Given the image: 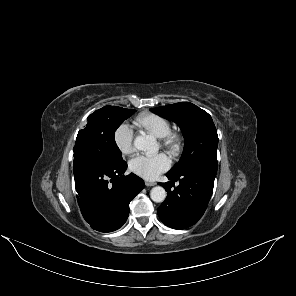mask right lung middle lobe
Returning a JSON list of instances; mask_svg holds the SVG:
<instances>
[{
    "instance_id": "1",
    "label": "right lung middle lobe",
    "mask_w": 296,
    "mask_h": 296,
    "mask_svg": "<svg viewBox=\"0 0 296 296\" xmlns=\"http://www.w3.org/2000/svg\"><path fill=\"white\" fill-rule=\"evenodd\" d=\"M135 111L117 106H104L87 117L85 129L78 132L76 142H86L107 153L115 162L124 161L114 140L115 131Z\"/></svg>"
}]
</instances>
